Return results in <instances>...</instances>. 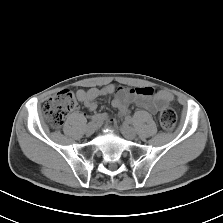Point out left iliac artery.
<instances>
[{
	"label": "left iliac artery",
	"mask_w": 223,
	"mask_h": 223,
	"mask_svg": "<svg viewBox=\"0 0 223 223\" xmlns=\"http://www.w3.org/2000/svg\"><path fill=\"white\" fill-rule=\"evenodd\" d=\"M126 121H127L128 123L134 125V120H133L131 117H128V118L126 119Z\"/></svg>",
	"instance_id": "44dca946"
}]
</instances>
